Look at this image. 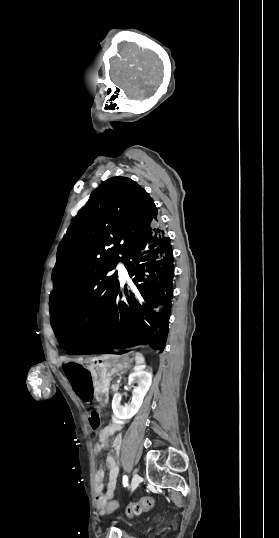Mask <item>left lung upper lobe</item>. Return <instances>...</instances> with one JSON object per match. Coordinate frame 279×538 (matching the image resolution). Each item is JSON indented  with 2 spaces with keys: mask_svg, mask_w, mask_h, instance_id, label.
Segmentation results:
<instances>
[{
  "mask_svg": "<svg viewBox=\"0 0 279 538\" xmlns=\"http://www.w3.org/2000/svg\"><path fill=\"white\" fill-rule=\"evenodd\" d=\"M155 221L153 199L127 177H112L91 194L57 250L50 302L56 337L89 336L100 325L119 288L117 272H109Z\"/></svg>",
  "mask_w": 279,
  "mask_h": 538,
  "instance_id": "left-lung-upper-lobe-1",
  "label": "left lung upper lobe"
}]
</instances>
